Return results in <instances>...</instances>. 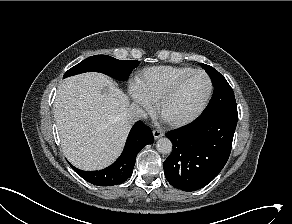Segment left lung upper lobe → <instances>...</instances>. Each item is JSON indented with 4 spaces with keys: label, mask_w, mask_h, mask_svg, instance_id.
<instances>
[{
    "label": "left lung upper lobe",
    "mask_w": 292,
    "mask_h": 224,
    "mask_svg": "<svg viewBox=\"0 0 292 224\" xmlns=\"http://www.w3.org/2000/svg\"><path fill=\"white\" fill-rule=\"evenodd\" d=\"M201 66L210 76L214 86L213 96L202 114L209 113L224 106L236 104L233 90L226 79L213 67L206 64H201Z\"/></svg>",
    "instance_id": "5c2ea615"
}]
</instances>
